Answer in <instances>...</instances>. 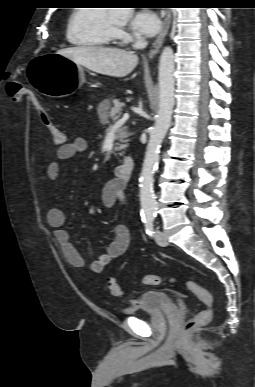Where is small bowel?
<instances>
[{
	"instance_id": "1",
	"label": "small bowel",
	"mask_w": 255,
	"mask_h": 387,
	"mask_svg": "<svg viewBox=\"0 0 255 387\" xmlns=\"http://www.w3.org/2000/svg\"><path fill=\"white\" fill-rule=\"evenodd\" d=\"M87 150V141L82 137H76L70 142L59 146L56 150V156L59 161H67ZM60 172V165L57 161H52L46 169L47 177L51 181H56ZM55 196L57 194H54ZM125 199V183L117 178L109 180L102 190V201L105 206L112 207L117 202ZM66 217L64 212L53 207L47 212V222L53 229L54 236L59 243L62 253L67 262L74 267L83 268L86 261L76 249L68 231L64 228ZM131 235L127 226L119 224L114 228V238L107 249L99 257L90 262L87 267L93 273H102L110 262L123 255L130 245Z\"/></svg>"
}]
</instances>
